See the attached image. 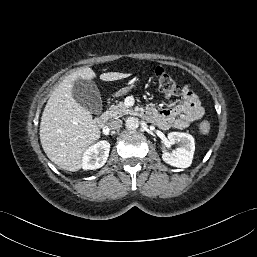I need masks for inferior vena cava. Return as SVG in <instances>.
I'll return each instance as SVG.
<instances>
[{
    "mask_svg": "<svg viewBox=\"0 0 257 257\" xmlns=\"http://www.w3.org/2000/svg\"><path fill=\"white\" fill-rule=\"evenodd\" d=\"M122 120H114L109 123L111 129H120L122 127Z\"/></svg>",
    "mask_w": 257,
    "mask_h": 257,
    "instance_id": "1",
    "label": "inferior vena cava"
}]
</instances>
